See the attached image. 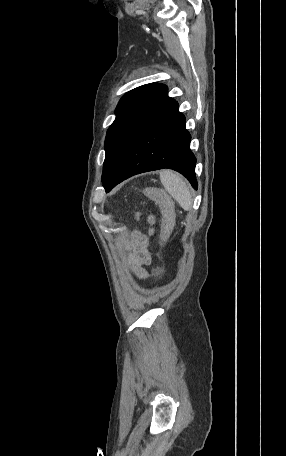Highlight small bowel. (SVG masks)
Listing matches in <instances>:
<instances>
[{
    "mask_svg": "<svg viewBox=\"0 0 286 456\" xmlns=\"http://www.w3.org/2000/svg\"><path fill=\"white\" fill-rule=\"evenodd\" d=\"M152 216L147 217L146 222L148 225L154 224ZM152 228H149V234ZM126 247V254L124 262L128 269L136 275L139 279L148 278L149 274L145 267L151 264L152 254L149 249V236L141 231H135L130 237L123 239Z\"/></svg>",
    "mask_w": 286,
    "mask_h": 456,
    "instance_id": "obj_1",
    "label": "small bowel"
}]
</instances>
